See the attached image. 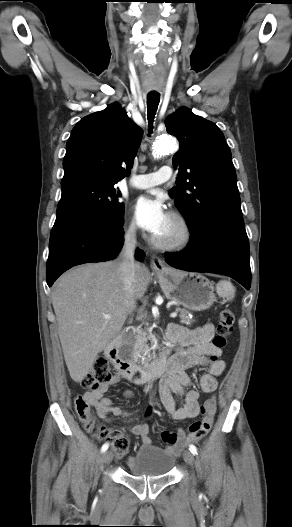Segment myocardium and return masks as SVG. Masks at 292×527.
<instances>
[{
  "mask_svg": "<svg viewBox=\"0 0 292 527\" xmlns=\"http://www.w3.org/2000/svg\"><path fill=\"white\" fill-rule=\"evenodd\" d=\"M169 218L177 228V233L170 239H160L155 236L151 237V243L158 249L162 250H181L186 248L192 241L193 231L188 219L181 213L172 211Z\"/></svg>",
  "mask_w": 292,
  "mask_h": 527,
  "instance_id": "1",
  "label": "myocardium"
}]
</instances>
